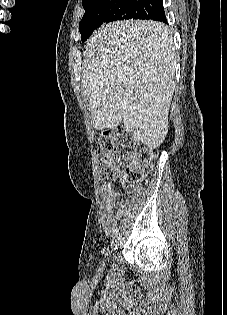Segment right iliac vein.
<instances>
[{"mask_svg":"<svg viewBox=\"0 0 227 315\" xmlns=\"http://www.w3.org/2000/svg\"><path fill=\"white\" fill-rule=\"evenodd\" d=\"M118 243H119V239H118V238H116V239L113 241V245H114V246H117V245H118Z\"/></svg>","mask_w":227,"mask_h":315,"instance_id":"right-iliac-vein-1","label":"right iliac vein"}]
</instances>
